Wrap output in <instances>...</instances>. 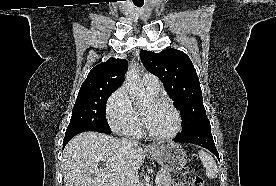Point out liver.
<instances>
[{"instance_id": "liver-1", "label": "liver", "mask_w": 276, "mask_h": 186, "mask_svg": "<svg viewBox=\"0 0 276 186\" xmlns=\"http://www.w3.org/2000/svg\"><path fill=\"white\" fill-rule=\"evenodd\" d=\"M142 147L97 132L72 138L63 151L64 186H120L127 173L138 174L144 162ZM103 161L105 167L98 168Z\"/></svg>"}]
</instances>
